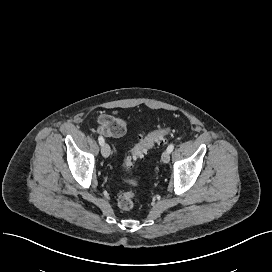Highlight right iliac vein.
I'll return each mask as SVG.
<instances>
[{
    "instance_id": "1",
    "label": "right iliac vein",
    "mask_w": 272,
    "mask_h": 272,
    "mask_svg": "<svg viewBox=\"0 0 272 272\" xmlns=\"http://www.w3.org/2000/svg\"><path fill=\"white\" fill-rule=\"evenodd\" d=\"M101 153L103 157L108 158L110 155V146L107 143H103L101 146Z\"/></svg>"
}]
</instances>
